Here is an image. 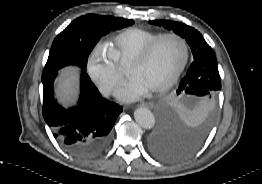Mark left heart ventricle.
<instances>
[{
    "mask_svg": "<svg viewBox=\"0 0 262 184\" xmlns=\"http://www.w3.org/2000/svg\"><path fill=\"white\" fill-rule=\"evenodd\" d=\"M184 55L183 44L175 38H167L157 45L144 64L128 66V72L152 89L164 84L172 77L180 67Z\"/></svg>",
    "mask_w": 262,
    "mask_h": 184,
    "instance_id": "obj_1",
    "label": "left heart ventricle"
}]
</instances>
